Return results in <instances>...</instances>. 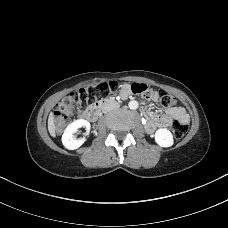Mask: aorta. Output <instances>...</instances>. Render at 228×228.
Listing matches in <instances>:
<instances>
[{"label":"aorta","mask_w":228,"mask_h":228,"mask_svg":"<svg viewBox=\"0 0 228 228\" xmlns=\"http://www.w3.org/2000/svg\"><path fill=\"white\" fill-rule=\"evenodd\" d=\"M128 107L131 109V110H135L138 108V102L135 101V100H131L129 103H128Z\"/></svg>","instance_id":"obj_1"}]
</instances>
